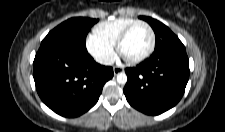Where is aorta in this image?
Here are the masks:
<instances>
[{
  "instance_id": "762f6f07",
  "label": "aorta",
  "mask_w": 225,
  "mask_h": 132,
  "mask_svg": "<svg viewBox=\"0 0 225 132\" xmlns=\"http://www.w3.org/2000/svg\"><path fill=\"white\" fill-rule=\"evenodd\" d=\"M117 82L120 83V84H126L127 75L125 73H119L117 75Z\"/></svg>"
}]
</instances>
